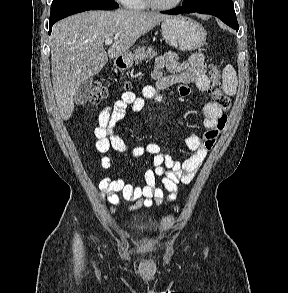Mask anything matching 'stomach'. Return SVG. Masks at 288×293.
I'll return each instance as SVG.
<instances>
[{
  "mask_svg": "<svg viewBox=\"0 0 288 293\" xmlns=\"http://www.w3.org/2000/svg\"><path fill=\"white\" fill-rule=\"evenodd\" d=\"M162 36L166 43L182 51H193L204 45L206 30L198 22L184 16H170L161 25ZM134 61L130 52L119 56L116 66L120 70L128 69Z\"/></svg>",
  "mask_w": 288,
  "mask_h": 293,
  "instance_id": "1",
  "label": "stomach"
}]
</instances>
